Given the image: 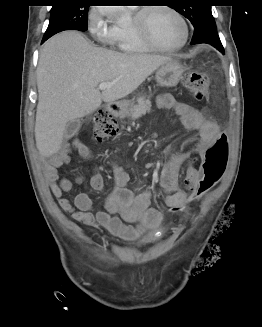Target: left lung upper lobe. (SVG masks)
<instances>
[{
	"mask_svg": "<svg viewBox=\"0 0 262 327\" xmlns=\"http://www.w3.org/2000/svg\"><path fill=\"white\" fill-rule=\"evenodd\" d=\"M176 3V1H173ZM193 6L173 4V8L180 14L190 20L196 30L207 20L213 19L211 6L206 4L205 0H198Z\"/></svg>",
	"mask_w": 262,
	"mask_h": 327,
	"instance_id": "1",
	"label": "left lung upper lobe"
}]
</instances>
